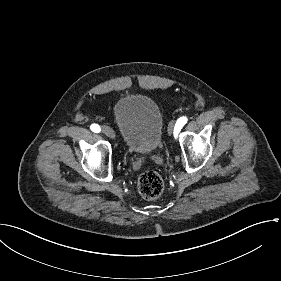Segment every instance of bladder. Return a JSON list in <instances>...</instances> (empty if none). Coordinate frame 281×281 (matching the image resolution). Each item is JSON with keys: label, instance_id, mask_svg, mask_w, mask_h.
<instances>
[{"label": "bladder", "instance_id": "31cf9c89", "mask_svg": "<svg viewBox=\"0 0 281 281\" xmlns=\"http://www.w3.org/2000/svg\"><path fill=\"white\" fill-rule=\"evenodd\" d=\"M114 125L123 144L140 157L162 147L164 115L149 94L137 92L117 99L112 108Z\"/></svg>", "mask_w": 281, "mask_h": 281}]
</instances>
